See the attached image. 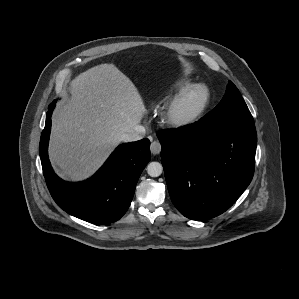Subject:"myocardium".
I'll use <instances>...</instances> for the list:
<instances>
[{
	"instance_id": "1",
	"label": "myocardium",
	"mask_w": 299,
	"mask_h": 299,
	"mask_svg": "<svg viewBox=\"0 0 299 299\" xmlns=\"http://www.w3.org/2000/svg\"><path fill=\"white\" fill-rule=\"evenodd\" d=\"M201 91L203 100L199 106L191 112H183L182 107L187 98L194 92ZM211 101V91L206 84H192L180 92L167 106L163 113V122L172 128H185L198 122L206 112Z\"/></svg>"
}]
</instances>
